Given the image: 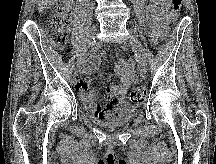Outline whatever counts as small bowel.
Masks as SVG:
<instances>
[{
	"mask_svg": "<svg viewBox=\"0 0 216 164\" xmlns=\"http://www.w3.org/2000/svg\"><path fill=\"white\" fill-rule=\"evenodd\" d=\"M171 0H149L147 8V19L152 30L153 38L157 41L163 33V24L167 16V9ZM99 61L97 53H93L87 61L85 72H93ZM116 75L119 82L111 83L109 86V102L105 107L99 105L97 94L88 90L91 83L90 77L75 75V87L84 104L85 109L98 120H109L115 118L121 109L130 108L129 104L120 101L127 89L136 82V70L133 61L119 60L116 65Z\"/></svg>",
	"mask_w": 216,
	"mask_h": 164,
	"instance_id": "1",
	"label": "small bowel"
}]
</instances>
